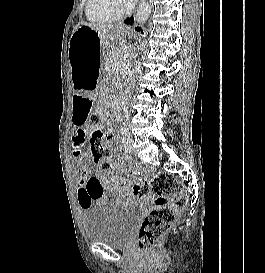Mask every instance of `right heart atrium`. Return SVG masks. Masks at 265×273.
<instances>
[{"label": "right heart atrium", "mask_w": 265, "mask_h": 273, "mask_svg": "<svg viewBox=\"0 0 265 273\" xmlns=\"http://www.w3.org/2000/svg\"><path fill=\"white\" fill-rule=\"evenodd\" d=\"M115 3L119 6V5H122L123 4V1L124 0H114Z\"/></svg>", "instance_id": "obj_1"}]
</instances>
